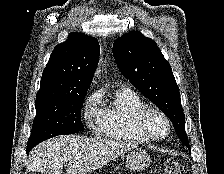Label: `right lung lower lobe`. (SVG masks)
<instances>
[{
  "label": "right lung lower lobe",
  "mask_w": 224,
  "mask_h": 174,
  "mask_svg": "<svg viewBox=\"0 0 224 174\" xmlns=\"http://www.w3.org/2000/svg\"><path fill=\"white\" fill-rule=\"evenodd\" d=\"M34 146H28L27 147V153H29V151L33 148Z\"/></svg>",
  "instance_id": "98d812e1"
}]
</instances>
